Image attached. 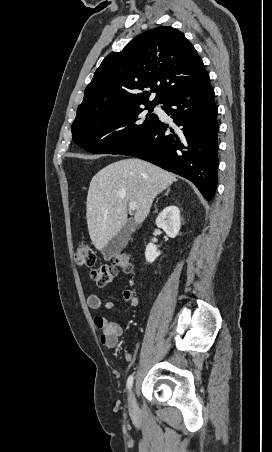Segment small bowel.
<instances>
[{"instance_id": "1", "label": "small bowel", "mask_w": 272, "mask_h": 452, "mask_svg": "<svg viewBox=\"0 0 272 452\" xmlns=\"http://www.w3.org/2000/svg\"><path fill=\"white\" fill-rule=\"evenodd\" d=\"M122 299L131 308H135L139 304L138 298L131 289H126L122 292ZM88 307L92 310H98L102 306V299L98 294H91L87 299ZM107 310H112L116 307L113 301L104 303ZM95 326L102 331L101 342L106 347H113L117 344L120 335L122 334V327L117 321L110 320L104 316L97 315L94 318Z\"/></svg>"}]
</instances>
